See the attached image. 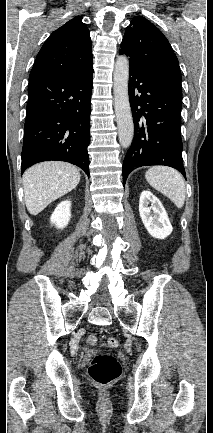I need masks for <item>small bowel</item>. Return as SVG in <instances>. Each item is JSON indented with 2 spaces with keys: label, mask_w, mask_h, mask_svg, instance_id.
<instances>
[{
  "label": "small bowel",
  "mask_w": 213,
  "mask_h": 433,
  "mask_svg": "<svg viewBox=\"0 0 213 433\" xmlns=\"http://www.w3.org/2000/svg\"><path fill=\"white\" fill-rule=\"evenodd\" d=\"M89 341H90L91 343H94V342H95V337H94V336H90V337H89Z\"/></svg>",
  "instance_id": "small-bowel-1"
}]
</instances>
